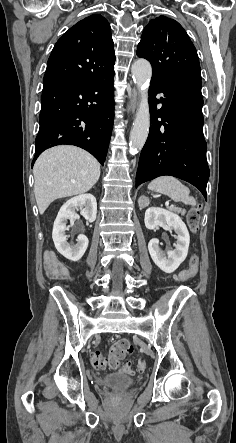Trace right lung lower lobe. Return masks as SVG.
I'll list each match as a JSON object with an SVG mask.
<instances>
[{
  "label": "right lung lower lobe",
  "mask_w": 236,
  "mask_h": 443,
  "mask_svg": "<svg viewBox=\"0 0 236 443\" xmlns=\"http://www.w3.org/2000/svg\"><path fill=\"white\" fill-rule=\"evenodd\" d=\"M113 76L44 84L32 166L44 150L61 144L79 146L104 164L113 128Z\"/></svg>",
  "instance_id": "98d812e1"
}]
</instances>
